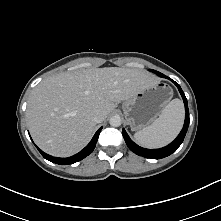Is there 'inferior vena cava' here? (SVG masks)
Instances as JSON below:
<instances>
[{
    "label": "inferior vena cava",
    "mask_w": 221,
    "mask_h": 221,
    "mask_svg": "<svg viewBox=\"0 0 221 221\" xmlns=\"http://www.w3.org/2000/svg\"><path fill=\"white\" fill-rule=\"evenodd\" d=\"M103 120H104V117L101 114H99V113L95 114L94 117H93V121L95 123H100Z\"/></svg>",
    "instance_id": "inferior-vena-cava-1"
}]
</instances>
